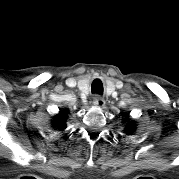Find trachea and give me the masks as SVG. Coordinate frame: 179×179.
<instances>
[{
	"mask_svg": "<svg viewBox=\"0 0 179 179\" xmlns=\"http://www.w3.org/2000/svg\"><path fill=\"white\" fill-rule=\"evenodd\" d=\"M91 90H92L93 93L102 95L103 94V84H102V81L100 79H95L92 82Z\"/></svg>",
	"mask_w": 179,
	"mask_h": 179,
	"instance_id": "1",
	"label": "trachea"
}]
</instances>
